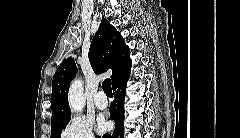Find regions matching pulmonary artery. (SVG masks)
<instances>
[{
	"label": "pulmonary artery",
	"instance_id": "e3ab8cb5",
	"mask_svg": "<svg viewBox=\"0 0 240 138\" xmlns=\"http://www.w3.org/2000/svg\"><path fill=\"white\" fill-rule=\"evenodd\" d=\"M94 104L98 109H106L108 106V101L103 91H98L94 97Z\"/></svg>",
	"mask_w": 240,
	"mask_h": 138
}]
</instances>
